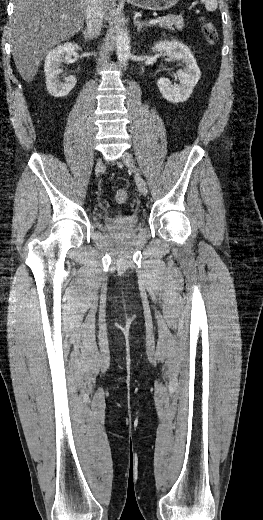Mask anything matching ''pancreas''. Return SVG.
Listing matches in <instances>:
<instances>
[{"label":"pancreas","instance_id":"cf45deb5","mask_svg":"<svg viewBox=\"0 0 263 520\" xmlns=\"http://www.w3.org/2000/svg\"><path fill=\"white\" fill-rule=\"evenodd\" d=\"M159 22L158 25L161 28H166L169 30H182L184 27V20L182 16H176V15H168L164 17L158 18Z\"/></svg>","mask_w":263,"mask_h":520}]
</instances>
